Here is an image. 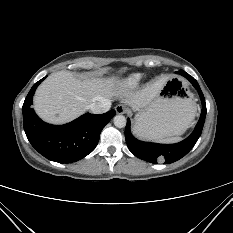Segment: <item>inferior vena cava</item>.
<instances>
[{
  "label": "inferior vena cava",
  "mask_w": 233,
  "mask_h": 233,
  "mask_svg": "<svg viewBox=\"0 0 233 233\" xmlns=\"http://www.w3.org/2000/svg\"><path fill=\"white\" fill-rule=\"evenodd\" d=\"M111 107V100L102 99L98 102H94L90 105V110L94 114H102L109 111Z\"/></svg>",
  "instance_id": "inferior-vena-cava-1"
}]
</instances>
